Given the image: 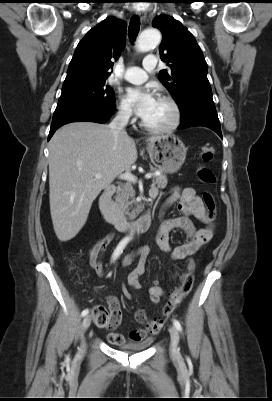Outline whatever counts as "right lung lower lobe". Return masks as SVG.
I'll return each instance as SVG.
<instances>
[{"instance_id":"right-lung-lower-lobe-1","label":"right lung lower lobe","mask_w":272,"mask_h":401,"mask_svg":"<svg viewBox=\"0 0 272 401\" xmlns=\"http://www.w3.org/2000/svg\"><path fill=\"white\" fill-rule=\"evenodd\" d=\"M114 111L115 108L112 111L108 112H100L96 110H79L61 115L59 117H55L52 120L48 141L58 128L67 123L79 122V121L104 123L107 120H109L110 116L113 114Z\"/></svg>"}]
</instances>
